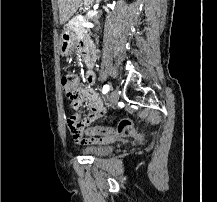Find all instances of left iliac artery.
Wrapping results in <instances>:
<instances>
[{
	"mask_svg": "<svg viewBox=\"0 0 217 202\" xmlns=\"http://www.w3.org/2000/svg\"><path fill=\"white\" fill-rule=\"evenodd\" d=\"M109 90H110V87H109V85L106 84L103 86L102 92H103V94H106Z\"/></svg>",
	"mask_w": 217,
	"mask_h": 202,
	"instance_id": "left-iliac-artery-1",
	"label": "left iliac artery"
}]
</instances>
